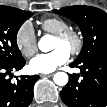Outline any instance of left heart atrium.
I'll return each mask as SVG.
<instances>
[{
    "label": "left heart atrium",
    "instance_id": "1",
    "mask_svg": "<svg viewBox=\"0 0 107 107\" xmlns=\"http://www.w3.org/2000/svg\"><path fill=\"white\" fill-rule=\"evenodd\" d=\"M69 52L58 48L50 53L40 54L30 62V68L35 73H50L69 60Z\"/></svg>",
    "mask_w": 107,
    "mask_h": 107
}]
</instances>
